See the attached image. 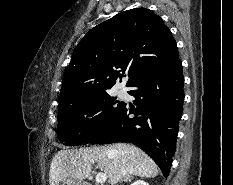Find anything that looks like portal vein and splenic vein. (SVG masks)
Wrapping results in <instances>:
<instances>
[{"instance_id": "18ae733b", "label": "portal vein and splenic vein", "mask_w": 233, "mask_h": 185, "mask_svg": "<svg viewBox=\"0 0 233 185\" xmlns=\"http://www.w3.org/2000/svg\"><path fill=\"white\" fill-rule=\"evenodd\" d=\"M107 180V176L105 174L102 173H98L96 175L95 181L97 184H102Z\"/></svg>"}]
</instances>
